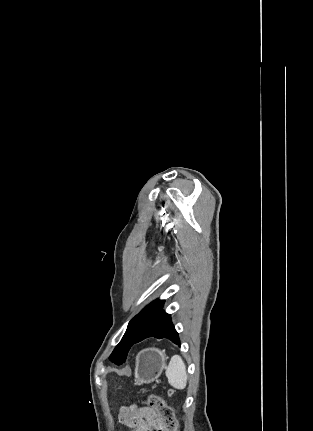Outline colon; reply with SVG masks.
<instances>
[{"instance_id":"5ec220e1","label":"colon","mask_w":313,"mask_h":431,"mask_svg":"<svg viewBox=\"0 0 313 431\" xmlns=\"http://www.w3.org/2000/svg\"><path fill=\"white\" fill-rule=\"evenodd\" d=\"M148 402L158 416L156 431H177L174 411L166 401L158 395H150Z\"/></svg>"}]
</instances>
